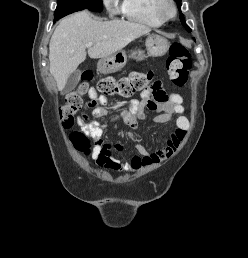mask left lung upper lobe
Listing matches in <instances>:
<instances>
[{"mask_svg": "<svg viewBox=\"0 0 248 258\" xmlns=\"http://www.w3.org/2000/svg\"><path fill=\"white\" fill-rule=\"evenodd\" d=\"M178 4H179V7H181V0H175ZM180 19H181V22L182 24L184 25V27L187 29V31H191V29L186 25L185 21H184V17H183V14L180 15Z\"/></svg>", "mask_w": 248, "mask_h": 258, "instance_id": "left-lung-upper-lobe-1", "label": "left lung upper lobe"}]
</instances>
